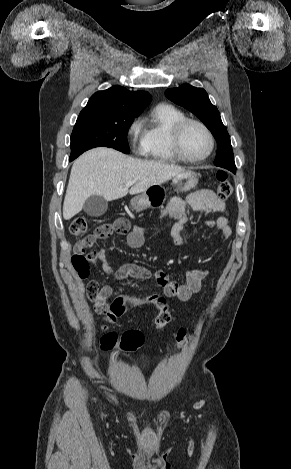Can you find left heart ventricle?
<instances>
[{
	"label": "left heart ventricle",
	"mask_w": 291,
	"mask_h": 469,
	"mask_svg": "<svg viewBox=\"0 0 291 469\" xmlns=\"http://www.w3.org/2000/svg\"><path fill=\"white\" fill-rule=\"evenodd\" d=\"M209 148V139L206 133L195 124L188 125L182 135V149L190 158L202 157Z\"/></svg>",
	"instance_id": "left-heart-ventricle-1"
}]
</instances>
